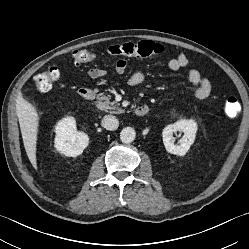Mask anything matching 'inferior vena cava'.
<instances>
[{
	"label": "inferior vena cava",
	"mask_w": 249,
	"mask_h": 249,
	"mask_svg": "<svg viewBox=\"0 0 249 249\" xmlns=\"http://www.w3.org/2000/svg\"><path fill=\"white\" fill-rule=\"evenodd\" d=\"M102 125L107 130H116L119 126L118 119L113 115H105L102 120Z\"/></svg>",
	"instance_id": "1"
}]
</instances>
